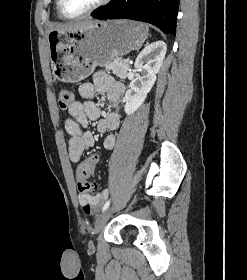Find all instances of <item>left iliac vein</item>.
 Instances as JSON below:
<instances>
[{"label":"left iliac vein","instance_id":"1","mask_svg":"<svg viewBox=\"0 0 247 280\" xmlns=\"http://www.w3.org/2000/svg\"><path fill=\"white\" fill-rule=\"evenodd\" d=\"M112 212V208H107L96 220L95 223V233H99L103 227L105 226L106 222L108 221Z\"/></svg>","mask_w":247,"mask_h":280}]
</instances>
